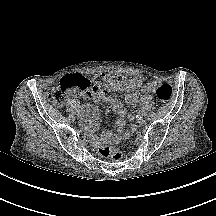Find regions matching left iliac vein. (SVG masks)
I'll return each mask as SVG.
<instances>
[{"instance_id":"left-iliac-vein-1","label":"left iliac vein","mask_w":216,"mask_h":216,"mask_svg":"<svg viewBox=\"0 0 216 216\" xmlns=\"http://www.w3.org/2000/svg\"><path fill=\"white\" fill-rule=\"evenodd\" d=\"M144 117H145V114L142 112L141 115L139 116V119L143 121Z\"/></svg>"}]
</instances>
